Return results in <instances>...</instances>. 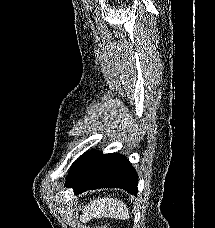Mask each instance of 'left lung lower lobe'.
I'll use <instances>...</instances> for the list:
<instances>
[{
    "instance_id": "1",
    "label": "left lung lower lobe",
    "mask_w": 215,
    "mask_h": 228,
    "mask_svg": "<svg viewBox=\"0 0 215 228\" xmlns=\"http://www.w3.org/2000/svg\"><path fill=\"white\" fill-rule=\"evenodd\" d=\"M138 176L126 157L89 151L71 167L66 187L76 195L96 188H121L137 196Z\"/></svg>"
}]
</instances>
